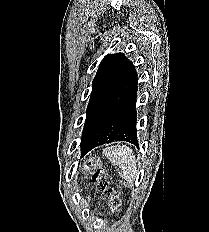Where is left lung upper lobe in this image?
<instances>
[{
    "instance_id": "left-lung-upper-lobe-1",
    "label": "left lung upper lobe",
    "mask_w": 209,
    "mask_h": 232,
    "mask_svg": "<svg viewBox=\"0 0 209 232\" xmlns=\"http://www.w3.org/2000/svg\"><path fill=\"white\" fill-rule=\"evenodd\" d=\"M132 66V62L123 53L107 55L103 59L92 83V93L86 113L117 90Z\"/></svg>"
}]
</instances>
